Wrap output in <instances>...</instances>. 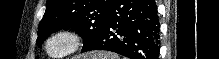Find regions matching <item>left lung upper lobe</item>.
<instances>
[{"mask_svg":"<svg viewBox=\"0 0 219 59\" xmlns=\"http://www.w3.org/2000/svg\"><path fill=\"white\" fill-rule=\"evenodd\" d=\"M114 0H47L45 14L38 27L37 45L52 33L74 26L83 37V49L100 34ZM82 49V50H83Z\"/></svg>","mask_w":219,"mask_h":59,"instance_id":"left-lung-upper-lobe-1","label":"left lung upper lobe"}]
</instances>
